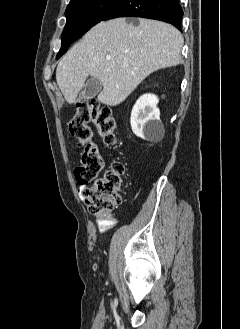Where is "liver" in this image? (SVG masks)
<instances>
[{
  "label": "liver",
  "mask_w": 240,
  "mask_h": 329,
  "mask_svg": "<svg viewBox=\"0 0 240 329\" xmlns=\"http://www.w3.org/2000/svg\"><path fill=\"white\" fill-rule=\"evenodd\" d=\"M125 18L101 22L91 28L62 58L56 81L68 103H75L88 77L100 80L98 101L122 103L151 73L181 63L184 39L172 25Z\"/></svg>",
  "instance_id": "liver-1"
}]
</instances>
